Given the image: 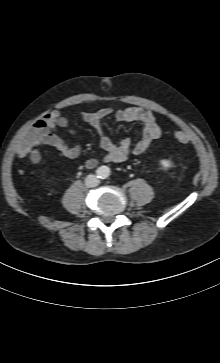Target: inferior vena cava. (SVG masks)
I'll use <instances>...</instances> for the list:
<instances>
[{
	"instance_id": "1",
	"label": "inferior vena cava",
	"mask_w": 220,
	"mask_h": 363,
	"mask_svg": "<svg viewBox=\"0 0 220 363\" xmlns=\"http://www.w3.org/2000/svg\"><path fill=\"white\" fill-rule=\"evenodd\" d=\"M85 184L87 187H96L99 184V179L96 175H88L85 179Z\"/></svg>"
}]
</instances>
